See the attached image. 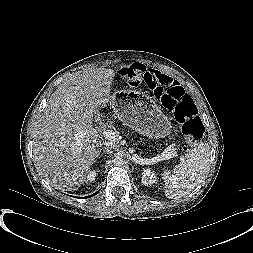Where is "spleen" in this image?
Masks as SVG:
<instances>
[{
  "instance_id": "1",
  "label": "spleen",
  "mask_w": 253,
  "mask_h": 253,
  "mask_svg": "<svg viewBox=\"0 0 253 253\" xmlns=\"http://www.w3.org/2000/svg\"><path fill=\"white\" fill-rule=\"evenodd\" d=\"M210 161V148L200 143L190 153L181 158V162L170 172L164 170L165 196L169 199L188 195L203 179Z\"/></svg>"
}]
</instances>
